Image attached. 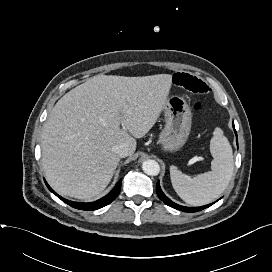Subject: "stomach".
<instances>
[{
  "label": "stomach",
  "mask_w": 272,
  "mask_h": 272,
  "mask_svg": "<svg viewBox=\"0 0 272 272\" xmlns=\"http://www.w3.org/2000/svg\"><path fill=\"white\" fill-rule=\"evenodd\" d=\"M164 116L165 127L159 142L166 150L177 151L186 143L191 130L190 107L184 98L171 96L164 107Z\"/></svg>",
  "instance_id": "obj_1"
}]
</instances>
